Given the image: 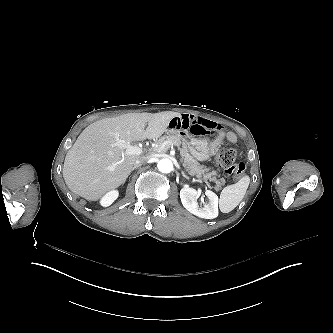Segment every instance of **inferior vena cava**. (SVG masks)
<instances>
[{
  "label": "inferior vena cava",
  "instance_id": "inferior-vena-cava-1",
  "mask_svg": "<svg viewBox=\"0 0 333 333\" xmlns=\"http://www.w3.org/2000/svg\"><path fill=\"white\" fill-rule=\"evenodd\" d=\"M148 161H149V158L145 157V158H143V159H141V160H137V161L134 163V166L139 167V166H141L142 164H144V163H146V162H148Z\"/></svg>",
  "mask_w": 333,
  "mask_h": 333
}]
</instances>
